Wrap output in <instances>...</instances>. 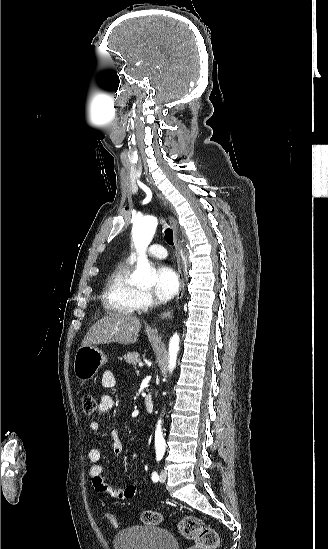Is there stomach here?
<instances>
[{
    "instance_id": "1",
    "label": "stomach",
    "mask_w": 328,
    "mask_h": 549,
    "mask_svg": "<svg viewBox=\"0 0 328 549\" xmlns=\"http://www.w3.org/2000/svg\"><path fill=\"white\" fill-rule=\"evenodd\" d=\"M105 363H107V359L103 351L97 347H93V345L79 347L74 359L75 377L80 381H90Z\"/></svg>"
}]
</instances>
